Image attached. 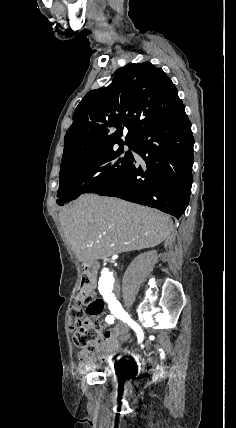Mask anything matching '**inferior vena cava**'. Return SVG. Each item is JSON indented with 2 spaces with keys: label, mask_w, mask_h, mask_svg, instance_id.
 <instances>
[{
  "label": "inferior vena cava",
  "mask_w": 236,
  "mask_h": 428,
  "mask_svg": "<svg viewBox=\"0 0 236 428\" xmlns=\"http://www.w3.org/2000/svg\"><path fill=\"white\" fill-rule=\"evenodd\" d=\"M115 295H116V296H119V295H120V287H119V286H116V287H115Z\"/></svg>",
  "instance_id": "602c4592"
}]
</instances>
